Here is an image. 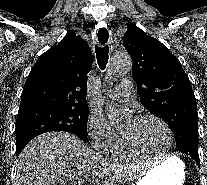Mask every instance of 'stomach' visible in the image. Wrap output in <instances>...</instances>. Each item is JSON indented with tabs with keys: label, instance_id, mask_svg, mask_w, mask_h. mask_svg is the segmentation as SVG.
<instances>
[{
	"label": "stomach",
	"instance_id": "stomach-1",
	"mask_svg": "<svg viewBox=\"0 0 207 185\" xmlns=\"http://www.w3.org/2000/svg\"><path fill=\"white\" fill-rule=\"evenodd\" d=\"M185 165L178 157L172 156L152 168L137 185H183Z\"/></svg>",
	"mask_w": 207,
	"mask_h": 185
}]
</instances>
